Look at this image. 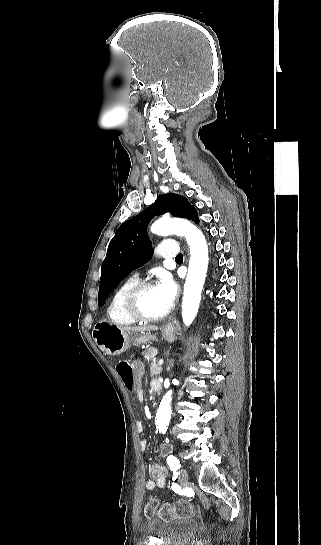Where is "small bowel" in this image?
I'll return each mask as SVG.
<instances>
[{"label": "small bowel", "instance_id": "small-bowel-1", "mask_svg": "<svg viewBox=\"0 0 321 545\" xmlns=\"http://www.w3.org/2000/svg\"><path fill=\"white\" fill-rule=\"evenodd\" d=\"M156 384H160L158 381H153L151 386L154 389V386ZM136 399L138 402L144 401V392L142 389H138L136 391ZM136 428L139 433H142L144 431V425L141 422L136 423ZM147 441L145 439H142L140 441V448L142 451L146 450L147 448ZM171 448L169 445L164 444L161 446V454L162 456L168 454L170 452ZM150 475L151 478L145 483V489L146 490H153L155 488H164L165 486V478H166V470L163 466L159 464H154L150 469Z\"/></svg>", "mask_w": 321, "mask_h": 545}]
</instances>
